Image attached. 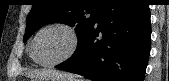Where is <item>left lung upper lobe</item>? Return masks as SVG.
Masks as SVG:
<instances>
[{
  "mask_svg": "<svg viewBox=\"0 0 169 81\" xmlns=\"http://www.w3.org/2000/svg\"><path fill=\"white\" fill-rule=\"evenodd\" d=\"M107 0H34L26 20L24 42L40 27L49 23L76 26L78 44L94 25ZM90 14V15H88Z\"/></svg>",
  "mask_w": 169,
  "mask_h": 81,
  "instance_id": "obj_1",
  "label": "left lung upper lobe"
}]
</instances>
